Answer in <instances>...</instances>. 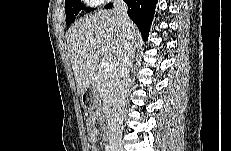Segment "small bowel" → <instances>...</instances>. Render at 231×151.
<instances>
[{
    "label": "small bowel",
    "instance_id": "c3829d8e",
    "mask_svg": "<svg viewBox=\"0 0 231 151\" xmlns=\"http://www.w3.org/2000/svg\"><path fill=\"white\" fill-rule=\"evenodd\" d=\"M87 137L90 151H99L98 138L99 131L96 127V115L90 116L86 121Z\"/></svg>",
    "mask_w": 231,
    "mask_h": 151
}]
</instances>
